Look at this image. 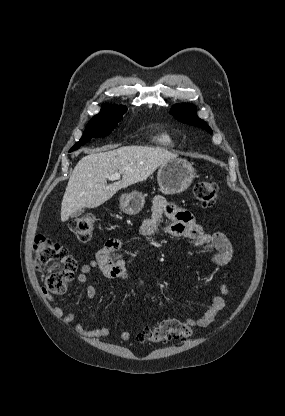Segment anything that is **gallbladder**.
Segmentation results:
<instances>
[{"label":"gallbladder","mask_w":285,"mask_h":416,"mask_svg":"<svg viewBox=\"0 0 285 416\" xmlns=\"http://www.w3.org/2000/svg\"><path fill=\"white\" fill-rule=\"evenodd\" d=\"M81 214H84V210H77V212H73V214H71V218H78Z\"/></svg>","instance_id":"obj_1"}]
</instances>
